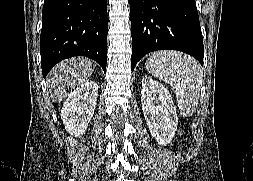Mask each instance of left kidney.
I'll return each mask as SVG.
<instances>
[{"label": "left kidney", "instance_id": "obj_1", "mask_svg": "<svg viewBox=\"0 0 253 181\" xmlns=\"http://www.w3.org/2000/svg\"><path fill=\"white\" fill-rule=\"evenodd\" d=\"M141 104L151 136L160 145L169 144L177 129L178 116L167 88L147 76L143 77Z\"/></svg>", "mask_w": 253, "mask_h": 181}]
</instances>
